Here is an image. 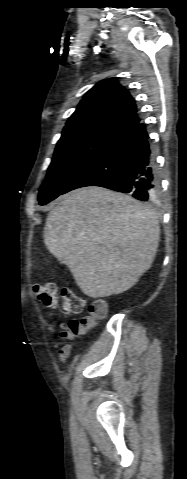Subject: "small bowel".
I'll list each match as a JSON object with an SVG mask.
<instances>
[{
    "label": "small bowel",
    "instance_id": "1",
    "mask_svg": "<svg viewBox=\"0 0 187 479\" xmlns=\"http://www.w3.org/2000/svg\"><path fill=\"white\" fill-rule=\"evenodd\" d=\"M76 347L72 344L63 345L58 352L60 362H65L70 355L75 351Z\"/></svg>",
    "mask_w": 187,
    "mask_h": 479
}]
</instances>
